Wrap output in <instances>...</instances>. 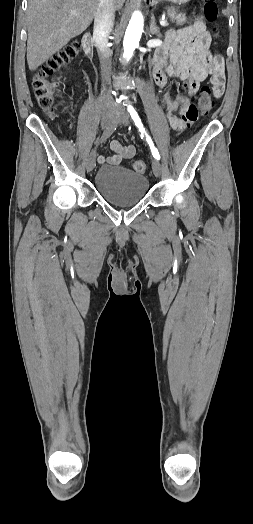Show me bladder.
<instances>
[{
    "instance_id": "1",
    "label": "bladder",
    "mask_w": 253,
    "mask_h": 524,
    "mask_svg": "<svg viewBox=\"0 0 253 524\" xmlns=\"http://www.w3.org/2000/svg\"><path fill=\"white\" fill-rule=\"evenodd\" d=\"M95 188L106 202L115 206H131L146 196L149 180L126 167L105 165L96 173Z\"/></svg>"
}]
</instances>
